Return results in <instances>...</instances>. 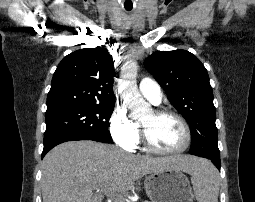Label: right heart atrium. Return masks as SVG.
Segmentation results:
<instances>
[{"label":"right heart atrium","mask_w":255,"mask_h":202,"mask_svg":"<svg viewBox=\"0 0 255 202\" xmlns=\"http://www.w3.org/2000/svg\"><path fill=\"white\" fill-rule=\"evenodd\" d=\"M113 141L125 150H133L139 139L138 124L132 120L122 106H116L108 122Z\"/></svg>","instance_id":"1"}]
</instances>
